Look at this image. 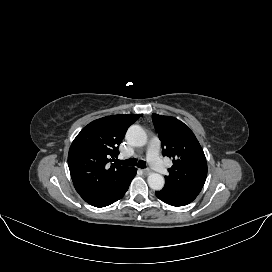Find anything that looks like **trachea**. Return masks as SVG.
Masks as SVG:
<instances>
[{"label": "trachea", "instance_id": "3493384b", "mask_svg": "<svg viewBox=\"0 0 272 272\" xmlns=\"http://www.w3.org/2000/svg\"><path fill=\"white\" fill-rule=\"evenodd\" d=\"M119 164L124 166H137L139 168H146V163L143 160L137 161L135 158H130L124 161H118Z\"/></svg>", "mask_w": 272, "mask_h": 272}]
</instances>
